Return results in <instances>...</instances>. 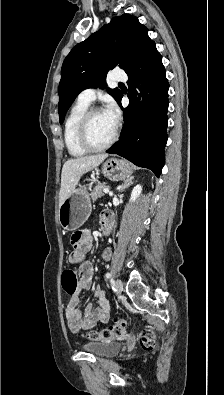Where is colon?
<instances>
[{
  "label": "colon",
  "mask_w": 224,
  "mask_h": 395,
  "mask_svg": "<svg viewBox=\"0 0 224 395\" xmlns=\"http://www.w3.org/2000/svg\"><path fill=\"white\" fill-rule=\"evenodd\" d=\"M77 275L75 270L67 269L63 273V288L68 294H74L77 289ZM128 322L125 319H119L110 326L101 330H91L83 335L92 341H107L113 338L121 337L125 334ZM140 345L143 349L151 350L156 346V338L154 333L145 329L140 334Z\"/></svg>",
  "instance_id": "1"
}]
</instances>
